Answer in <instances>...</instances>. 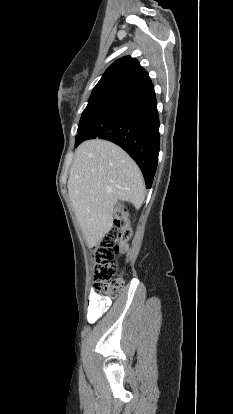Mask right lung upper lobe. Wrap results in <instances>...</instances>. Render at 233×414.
<instances>
[{
  "mask_svg": "<svg viewBox=\"0 0 233 414\" xmlns=\"http://www.w3.org/2000/svg\"><path fill=\"white\" fill-rule=\"evenodd\" d=\"M147 74L136 59L126 56L116 60L109 66L102 77L118 76L135 81Z\"/></svg>",
  "mask_w": 233,
  "mask_h": 414,
  "instance_id": "obj_1",
  "label": "right lung upper lobe"
}]
</instances>
